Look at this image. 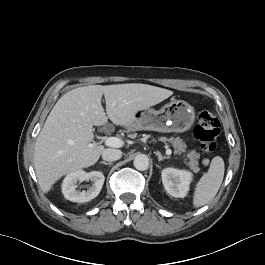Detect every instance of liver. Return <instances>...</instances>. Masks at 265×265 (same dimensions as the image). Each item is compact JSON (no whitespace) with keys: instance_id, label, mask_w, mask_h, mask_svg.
Wrapping results in <instances>:
<instances>
[{"instance_id":"obj_1","label":"liver","mask_w":265,"mask_h":265,"mask_svg":"<svg viewBox=\"0 0 265 265\" xmlns=\"http://www.w3.org/2000/svg\"><path fill=\"white\" fill-rule=\"evenodd\" d=\"M173 94L147 84L89 85L64 94L55 104L39 133L34 148V168L44 193L62 176L94 165L105 150L90 146L93 126L108 118L119 126L131 127L135 114ZM106 101V113L101 104Z\"/></svg>"}]
</instances>
